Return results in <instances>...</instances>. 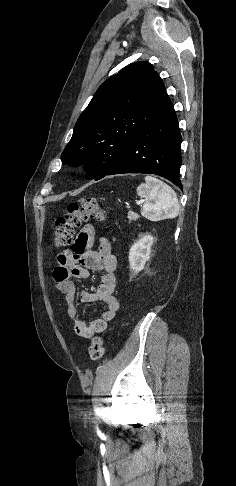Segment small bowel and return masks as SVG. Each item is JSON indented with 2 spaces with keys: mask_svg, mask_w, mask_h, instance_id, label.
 Masks as SVG:
<instances>
[{
  "mask_svg": "<svg viewBox=\"0 0 236 486\" xmlns=\"http://www.w3.org/2000/svg\"><path fill=\"white\" fill-rule=\"evenodd\" d=\"M94 240L93 226H85L72 247L58 255V265L53 271L55 286L65 296L67 313L72 320L74 332L83 338H91L95 334L105 331L108 322L115 317L119 310V302L114 296L116 257L111 252V245L107 238L99 239V248L96 251L92 250ZM90 270L103 271L98 287L93 292L81 291L77 294L74 280L89 277ZM76 297L82 303L101 301L106 305V309L98 318L86 323L78 317L75 306Z\"/></svg>",
  "mask_w": 236,
  "mask_h": 486,
  "instance_id": "small-bowel-1",
  "label": "small bowel"
}]
</instances>
